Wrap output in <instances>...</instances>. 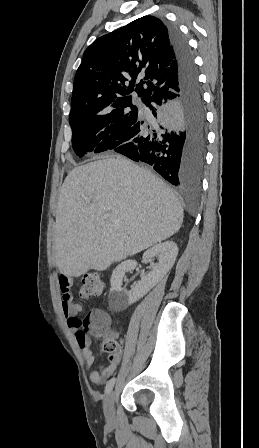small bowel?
Here are the masks:
<instances>
[{"label": "small bowel", "instance_id": "1", "mask_svg": "<svg viewBox=\"0 0 259 448\" xmlns=\"http://www.w3.org/2000/svg\"><path fill=\"white\" fill-rule=\"evenodd\" d=\"M72 278L60 275L58 277L59 286L62 291V309L66 317L68 326L77 332L76 337L81 349V353L87 367H92L95 363V356L91 350V342L89 338H81L79 336V330L81 321L78 315L82 312V306L74 301V296L71 290ZM111 337H115L112 333ZM121 359V353L118 355H110L108 363L98 371H93L90 374V380L95 384H102L107 378H109L116 371Z\"/></svg>", "mask_w": 259, "mask_h": 448}]
</instances>
